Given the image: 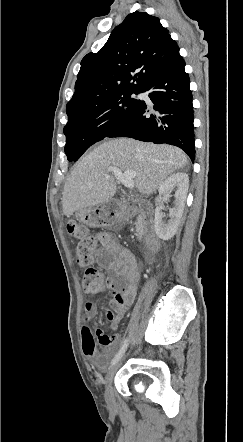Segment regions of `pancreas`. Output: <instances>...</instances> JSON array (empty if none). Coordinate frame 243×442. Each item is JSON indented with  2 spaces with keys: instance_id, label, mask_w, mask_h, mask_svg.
<instances>
[{
  "instance_id": "1",
  "label": "pancreas",
  "mask_w": 243,
  "mask_h": 442,
  "mask_svg": "<svg viewBox=\"0 0 243 442\" xmlns=\"http://www.w3.org/2000/svg\"><path fill=\"white\" fill-rule=\"evenodd\" d=\"M136 236L140 239L142 237V228L139 222L136 223Z\"/></svg>"
}]
</instances>
